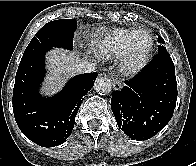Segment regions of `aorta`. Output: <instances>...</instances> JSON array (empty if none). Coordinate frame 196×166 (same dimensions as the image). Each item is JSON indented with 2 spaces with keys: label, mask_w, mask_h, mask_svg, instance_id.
Returning <instances> with one entry per match:
<instances>
[{
  "label": "aorta",
  "mask_w": 196,
  "mask_h": 166,
  "mask_svg": "<svg viewBox=\"0 0 196 166\" xmlns=\"http://www.w3.org/2000/svg\"><path fill=\"white\" fill-rule=\"evenodd\" d=\"M111 81L106 77H99L95 80L94 89L100 95H106L111 92Z\"/></svg>",
  "instance_id": "aorta-1"
}]
</instances>
